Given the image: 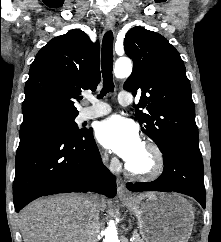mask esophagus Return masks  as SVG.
<instances>
[{
  "label": "esophagus",
  "mask_w": 221,
  "mask_h": 242,
  "mask_svg": "<svg viewBox=\"0 0 221 242\" xmlns=\"http://www.w3.org/2000/svg\"><path fill=\"white\" fill-rule=\"evenodd\" d=\"M106 28L112 29L115 25V19L114 18H107L105 21ZM117 195L118 197H129V193L127 192L125 188V184L121 178L117 179Z\"/></svg>",
  "instance_id": "esophagus-1"
}]
</instances>
